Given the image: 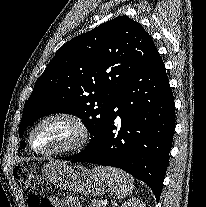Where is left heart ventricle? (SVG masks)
<instances>
[{
	"label": "left heart ventricle",
	"mask_w": 206,
	"mask_h": 207,
	"mask_svg": "<svg viewBox=\"0 0 206 207\" xmlns=\"http://www.w3.org/2000/svg\"><path fill=\"white\" fill-rule=\"evenodd\" d=\"M77 137V130L66 120H50L35 132L33 143L38 149H56L70 144Z\"/></svg>",
	"instance_id": "obj_1"
}]
</instances>
